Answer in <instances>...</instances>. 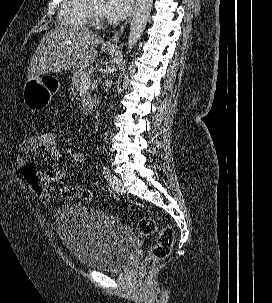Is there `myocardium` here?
I'll use <instances>...</instances> for the list:
<instances>
[{
    "label": "myocardium",
    "mask_w": 272,
    "mask_h": 303,
    "mask_svg": "<svg viewBox=\"0 0 272 303\" xmlns=\"http://www.w3.org/2000/svg\"><path fill=\"white\" fill-rule=\"evenodd\" d=\"M87 8H88V14L90 20L96 25L99 26L103 25L104 24L103 16L98 12L96 7L94 6L93 0H88Z\"/></svg>",
    "instance_id": "1"
}]
</instances>
